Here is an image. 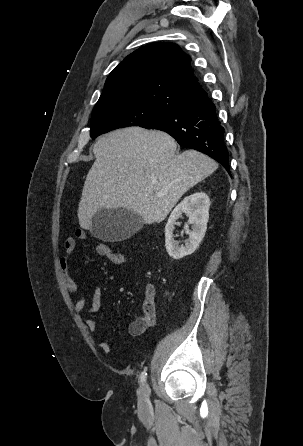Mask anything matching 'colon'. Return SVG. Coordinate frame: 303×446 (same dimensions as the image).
Wrapping results in <instances>:
<instances>
[{
	"instance_id": "obj_1",
	"label": "colon",
	"mask_w": 303,
	"mask_h": 446,
	"mask_svg": "<svg viewBox=\"0 0 303 446\" xmlns=\"http://www.w3.org/2000/svg\"><path fill=\"white\" fill-rule=\"evenodd\" d=\"M98 254L108 261L119 264L126 260L127 254L125 252H113L106 244L100 243Z\"/></svg>"
}]
</instances>
